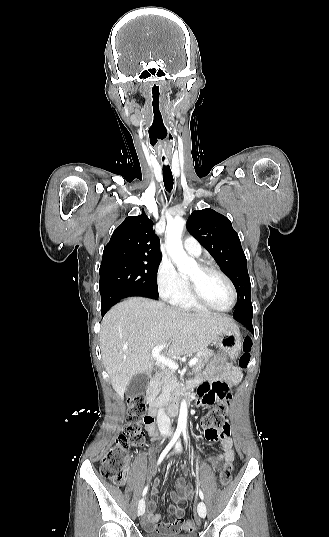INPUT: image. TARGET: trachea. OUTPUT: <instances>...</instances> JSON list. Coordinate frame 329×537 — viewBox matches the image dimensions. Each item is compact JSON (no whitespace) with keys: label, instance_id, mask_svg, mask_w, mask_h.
<instances>
[{"label":"trachea","instance_id":"trachea-1","mask_svg":"<svg viewBox=\"0 0 329 537\" xmlns=\"http://www.w3.org/2000/svg\"><path fill=\"white\" fill-rule=\"evenodd\" d=\"M163 181L165 189L170 192L173 188V176L169 165H163Z\"/></svg>","mask_w":329,"mask_h":537}]
</instances>
